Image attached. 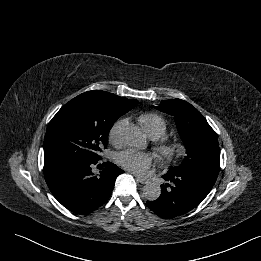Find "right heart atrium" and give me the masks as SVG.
Here are the masks:
<instances>
[{
	"mask_svg": "<svg viewBox=\"0 0 261 261\" xmlns=\"http://www.w3.org/2000/svg\"><path fill=\"white\" fill-rule=\"evenodd\" d=\"M123 121H115L109 129L108 140L113 145H119L121 143V132H122Z\"/></svg>",
	"mask_w": 261,
	"mask_h": 261,
	"instance_id": "1",
	"label": "right heart atrium"
}]
</instances>
